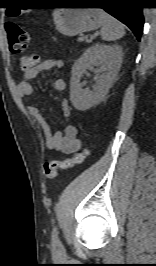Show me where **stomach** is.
I'll return each instance as SVG.
<instances>
[{
    "label": "stomach",
    "instance_id": "0dacf381",
    "mask_svg": "<svg viewBox=\"0 0 156 266\" xmlns=\"http://www.w3.org/2000/svg\"><path fill=\"white\" fill-rule=\"evenodd\" d=\"M71 7L79 5L69 3ZM56 29L63 35L74 36L83 32H88L99 28L102 20L99 9L86 8H59L53 12Z\"/></svg>",
    "mask_w": 156,
    "mask_h": 266
}]
</instances>
